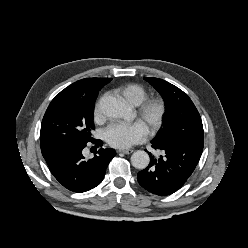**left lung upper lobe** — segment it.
Returning <instances> with one entry per match:
<instances>
[{
	"instance_id": "5c2ea615",
	"label": "left lung upper lobe",
	"mask_w": 248,
	"mask_h": 248,
	"mask_svg": "<svg viewBox=\"0 0 248 248\" xmlns=\"http://www.w3.org/2000/svg\"><path fill=\"white\" fill-rule=\"evenodd\" d=\"M144 80L161 94L165 103L163 125L153 141H186L203 145L202 120L189 96L165 80L153 77H144Z\"/></svg>"
}]
</instances>
